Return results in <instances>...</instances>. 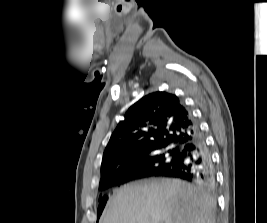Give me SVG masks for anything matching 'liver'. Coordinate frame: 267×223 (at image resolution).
I'll return each mask as SVG.
<instances>
[{"instance_id": "6515ba94", "label": "liver", "mask_w": 267, "mask_h": 223, "mask_svg": "<svg viewBox=\"0 0 267 223\" xmlns=\"http://www.w3.org/2000/svg\"><path fill=\"white\" fill-rule=\"evenodd\" d=\"M215 200L175 179H148L117 190L101 223H215Z\"/></svg>"}]
</instances>
